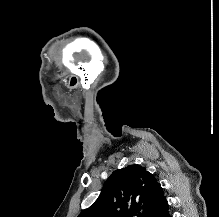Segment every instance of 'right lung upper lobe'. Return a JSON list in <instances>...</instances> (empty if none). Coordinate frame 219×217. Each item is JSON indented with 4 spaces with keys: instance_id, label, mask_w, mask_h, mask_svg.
I'll list each match as a JSON object with an SVG mask.
<instances>
[{
    "instance_id": "obj_1",
    "label": "right lung upper lobe",
    "mask_w": 219,
    "mask_h": 217,
    "mask_svg": "<svg viewBox=\"0 0 219 217\" xmlns=\"http://www.w3.org/2000/svg\"><path fill=\"white\" fill-rule=\"evenodd\" d=\"M167 209L160 184L134 164L114 171L98 199L78 217H160Z\"/></svg>"
}]
</instances>
